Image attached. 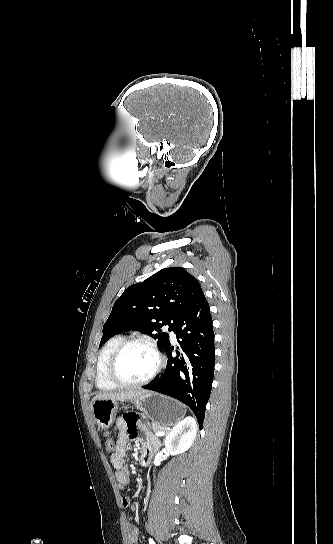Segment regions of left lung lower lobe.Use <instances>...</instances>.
<instances>
[{
    "mask_svg": "<svg viewBox=\"0 0 333 544\" xmlns=\"http://www.w3.org/2000/svg\"><path fill=\"white\" fill-rule=\"evenodd\" d=\"M173 332L182 352L177 351L173 357V346L169 343L164 349L168 358L164 374L144 389L168 395L189 406L201 429L215 365L212 318L204 293L180 317Z\"/></svg>",
    "mask_w": 333,
    "mask_h": 544,
    "instance_id": "1",
    "label": "left lung lower lobe"
}]
</instances>
